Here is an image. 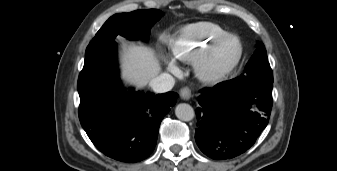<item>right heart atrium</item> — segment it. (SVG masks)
Instances as JSON below:
<instances>
[{
	"label": "right heart atrium",
	"mask_w": 337,
	"mask_h": 171,
	"mask_svg": "<svg viewBox=\"0 0 337 171\" xmlns=\"http://www.w3.org/2000/svg\"><path fill=\"white\" fill-rule=\"evenodd\" d=\"M166 66H167V69L174 74H178L180 72V69L177 66V64L171 59H168L166 61Z\"/></svg>",
	"instance_id": "d8ad5b80"
}]
</instances>
